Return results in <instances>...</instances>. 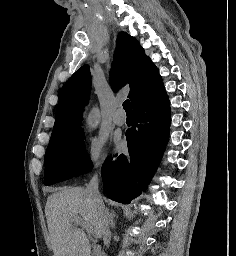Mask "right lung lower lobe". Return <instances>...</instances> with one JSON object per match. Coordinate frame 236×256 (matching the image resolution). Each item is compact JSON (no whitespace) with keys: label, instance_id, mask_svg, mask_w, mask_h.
I'll return each mask as SVG.
<instances>
[{"label":"right lung lower lobe","instance_id":"1","mask_svg":"<svg viewBox=\"0 0 236 256\" xmlns=\"http://www.w3.org/2000/svg\"><path fill=\"white\" fill-rule=\"evenodd\" d=\"M133 111L134 124L126 131L128 153L106 159L101 169L106 195L123 204L147 188L168 141L170 107L163 83L136 102Z\"/></svg>","mask_w":236,"mask_h":256}]
</instances>
